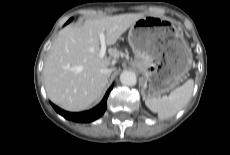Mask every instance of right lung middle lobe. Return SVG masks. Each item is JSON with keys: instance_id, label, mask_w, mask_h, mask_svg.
Segmentation results:
<instances>
[{"instance_id": "obj_1", "label": "right lung middle lobe", "mask_w": 230, "mask_h": 155, "mask_svg": "<svg viewBox=\"0 0 230 155\" xmlns=\"http://www.w3.org/2000/svg\"><path fill=\"white\" fill-rule=\"evenodd\" d=\"M70 21H72V19H70L67 23H69Z\"/></svg>"}]
</instances>
